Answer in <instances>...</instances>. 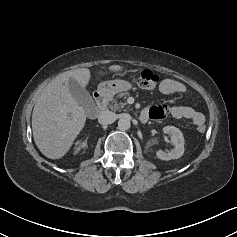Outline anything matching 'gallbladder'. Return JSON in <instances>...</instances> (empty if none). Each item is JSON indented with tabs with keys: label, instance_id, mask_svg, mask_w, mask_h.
Listing matches in <instances>:
<instances>
[{
	"label": "gallbladder",
	"instance_id": "gallbladder-1",
	"mask_svg": "<svg viewBox=\"0 0 237 237\" xmlns=\"http://www.w3.org/2000/svg\"><path fill=\"white\" fill-rule=\"evenodd\" d=\"M68 87L71 95L84 109L89 110L94 106V101L89 92L81 87L74 79H69ZM70 116L69 114V117Z\"/></svg>",
	"mask_w": 237,
	"mask_h": 237
}]
</instances>
